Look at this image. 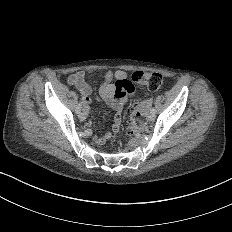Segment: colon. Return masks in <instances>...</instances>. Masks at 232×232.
Returning a JSON list of instances; mask_svg holds the SVG:
<instances>
[{"label": "colon", "instance_id": "1", "mask_svg": "<svg viewBox=\"0 0 232 232\" xmlns=\"http://www.w3.org/2000/svg\"><path fill=\"white\" fill-rule=\"evenodd\" d=\"M148 80V81H147ZM136 84L148 86V91L152 92V97H165L163 86L161 84L160 71L138 72L134 76ZM131 126L135 130H142L146 126V119L142 115H135L131 119Z\"/></svg>", "mask_w": 232, "mask_h": 232}]
</instances>
